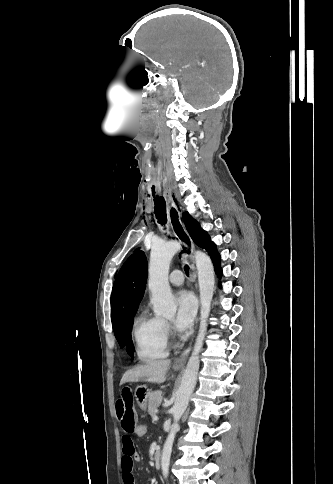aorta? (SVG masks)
<instances>
[{"instance_id": "obj_1", "label": "aorta", "mask_w": 333, "mask_h": 484, "mask_svg": "<svg viewBox=\"0 0 333 484\" xmlns=\"http://www.w3.org/2000/svg\"><path fill=\"white\" fill-rule=\"evenodd\" d=\"M180 249L181 244L179 242L168 241L156 244L151 250L148 287L152 295L153 310L157 315L169 317L176 314L177 307L169 285L168 274L170 262ZM194 257L198 271L200 292V326L192 354L187 362L182 382L172 407L173 424L162 450L161 471L165 478L169 474L173 443L179 430L178 422L188 406L190 396L197 382L200 366L199 353L203 347L207 330V318L214 295L215 277L210 257L199 250L195 251Z\"/></svg>"}]
</instances>
